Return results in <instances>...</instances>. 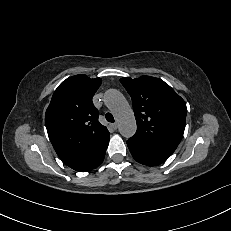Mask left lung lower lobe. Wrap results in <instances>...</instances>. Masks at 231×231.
I'll return each mask as SVG.
<instances>
[{"mask_svg":"<svg viewBox=\"0 0 231 231\" xmlns=\"http://www.w3.org/2000/svg\"><path fill=\"white\" fill-rule=\"evenodd\" d=\"M127 145L133 158L137 162L147 166L159 165L168 159V157L171 155V153L157 151L145 147L144 145L132 139L127 141Z\"/></svg>","mask_w":231,"mask_h":231,"instance_id":"0a47b994","label":"left lung lower lobe"}]
</instances>
